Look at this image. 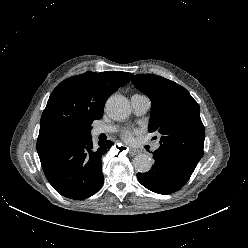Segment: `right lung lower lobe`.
I'll return each instance as SVG.
<instances>
[{"label": "right lung lower lobe", "instance_id": "1", "mask_svg": "<svg viewBox=\"0 0 248 248\" xmlns=\"http://www.w3.org/2000/svg\"><path fill=\"white\" fill-rule=\"evenodd\" d=\"M113 145L93 146L91 132L70 134L39 154L44 174L61 195L76 200L95 194L104 183L101 157Z\"/></svg>", "mask_w": 248, "mask_h": 248}]
</instances>
